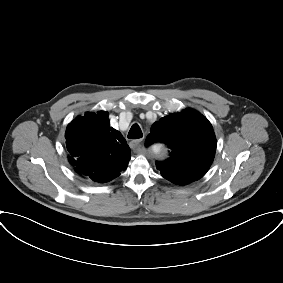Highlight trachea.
<instances>
[{
  "instance_id": "1",
  "label": "trachea",
  "mask_w": 283,
  "mask_h": 283,
  "mask_svg": "<svg viewBox=\"0 0 283 283\" xmlns=\"http://www.w3.org/2000/svg\"><path fill=\"white\" fill-rule=\"evenodd\" d=\"M143 134L138 124H133L130 128V131L128 133L129 139H139L142 138Z\"/></svg>"
}]
</instances>
